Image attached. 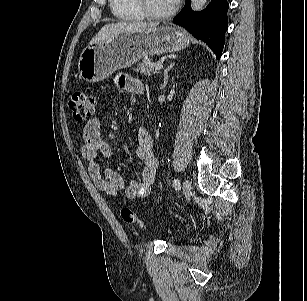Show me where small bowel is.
<instances>
[{
    "instance_id": "c3829d8e",
    "label": "small bowel",
    "mask_w": 307,
    "mask_h": 301,
    "mask_svg": "<svg viewBox=\"0 0 307 301\" xmlns=\"http://www.w3.org/2000/svg\"><path fill=\"white\" fill-rule=\"evenodd\" d=\"M116 84L120 89L133 94H138L144 89L141 81L129 75H119ZM110 154L111 147L102 136L98 119H91L83 128L81 155L88 161V173L96 188L112 197L121 190H124L127 198L147 196L155 181L158 168L149 132L145 128H139L137 131L135 155L143 163L141 179L132 177L125 186L123 178L118 173L111 169L103 170L97 159L108 157Z\"/></svg>"
}]
</instances>
